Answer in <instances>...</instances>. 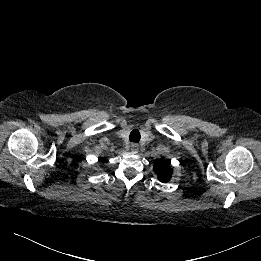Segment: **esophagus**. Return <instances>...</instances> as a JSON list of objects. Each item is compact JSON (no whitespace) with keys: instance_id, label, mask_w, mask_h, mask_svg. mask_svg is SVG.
Here are the masks:
<instances>
[{"instance_id":"34e87169","label":"esophagus","mask_w":261,"mask_h":261,"mask_svg":"<svg viewBox=\"0 0 261 261\" xmlns=\"http://www.w3.org/2000/svg\"><path fill=\"white\" fill-rule=\"evenodd\" d=\"M131 151H132V153H134V154L138 153V151H139V145H138L137 143H132V144H131Z\"/></svg>"}]
</instances>
